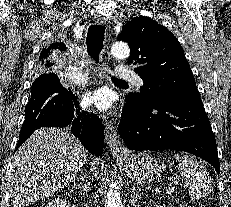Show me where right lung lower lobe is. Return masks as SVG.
Returning <instances> with one entry per match:
<instances>
[{
  "label": "right lung lower lobe",
  "mask_w": 231,
  "mask_h": 207,
  "mask_svg": "<svg viewBox=\"0 0 231 207\" xmlns=\"http://www.w3.org/2000/svg\"><path fill=\"white\" fill-rule=\"evenodd\" d=\"M67 126L90 153L102 156L104 127L98 116L81 111L77 97L61 85L55 74L40 75L32 84L17 146L36 129Z\"/></svg>",
  "instance_id": "1"
}]
</instances>
